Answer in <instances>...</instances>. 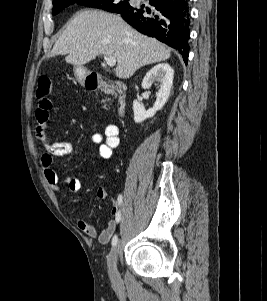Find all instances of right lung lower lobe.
Wrapping results in <instances>:
<instances>
[{
    "label": "right lung lower lobe",
    "instance_id": "right-lung-lower-lobe-1",
    "mask_svg": "<svg viewBox=\"0 0 267 301\" xmlns=\"http://www.w3.org/2000/svg\"><path fill=\"white\" fill-rule=\"evenodd\" d=\"M150 8L131 6L119 12L139 32L177 49L187 64L190 13L188 0H150Z\"/></svg>",
    "mask_w": 267,
    "mask_h": 301
}]
</instances>
